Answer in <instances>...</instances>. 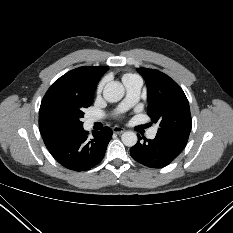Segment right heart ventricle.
Here are the masks:
<instances>
[{
  "label": "right heart ventricle",
  "mask_w": 233,
  "mask_h": 233,
  "mask_svg": "<svg viewBox=\"0 0 233 233\" xmlns=\"http://www.w3.org/2000/svg\"><path fill=\"white\" fill-rule=\"evenodd\" d=\"M133 76H135V75H132V74H125V75L123 76V82H124L125 80H127V79L133 77Z\"/></svg>",
  "instance_id": "right-heart-ventricle-1"
}]
</instances>
